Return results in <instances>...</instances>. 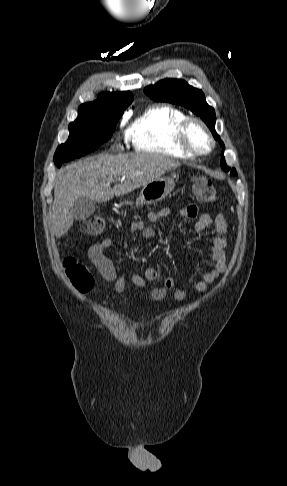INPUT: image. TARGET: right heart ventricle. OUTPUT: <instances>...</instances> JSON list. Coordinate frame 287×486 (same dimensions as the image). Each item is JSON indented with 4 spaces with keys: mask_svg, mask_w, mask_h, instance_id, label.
Masks as SVG:
<instances>
[{
    "mask_svg": "<svg viewBox=\"0 0 287 486\" xmlns=\"http://www.w3.org/2000/svg\"><path fill=\"white\" fill-rule=\"evenodd\" d=\"M187 115L169 105L147 108L128 127L126 137L137 152L192 158L178 143L177 130Z\"/></svg>",
    "mask_w": 287,
    "mask_h": 486,
    "instance_id": "e07e8e85",
    "label": "right heart ventricle"
}]
</instances>
